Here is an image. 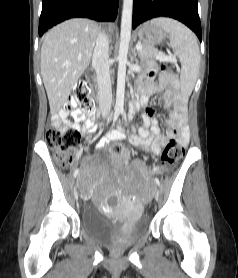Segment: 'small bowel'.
Instances as JSON below:
<instances>
[{"label": "small bowel", "instance_id": "1", "mask_svg": "<svg viewBox=\"0 0 238 278\" xmlns=\"http://www.w3.org/2000/svg\"><path fill=\"white\" fill-rule=\"evenodd\" d=\"M158 68L154 62H150L143 74L138 86V108H144L142 114V126L130 136V141L134 145L140 146L158 155L162 148L168 142L175 138L182 146H187L190 139V131L186 118V105L188 94L180 88L178 81L173 77L169 80H163L161 77L158 82H154ZM163 93V102L166 109L172 108L166 120L168 126L172 129L163 133L159 122L156 118L155 111L148 106L151 96ZM132 113L129 114V118ZM72 118L70 120L69 118ZM52 125L54 128L66 129L74 128L81 136L87 137L97 132L98 126L95 122V113L82 114L76 111H68L61 109L52 117ZM125 134L121 128L110 132L106 137L102 138L96 148L104 149L110 141L122 140ZM123 165H129V155L119 160ZM136 169L143 170L140 161L132 163Z\"/></svg>", "mask_w": 238, "mask_h": 278}]
</instances>
